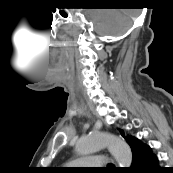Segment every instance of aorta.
Segmentation results:
<instances>
[{"label": "aorta", "instance_id": "762f6f07", "mask_svg": "<svg viewBox=\"0 0 173 173\" xmlns=\"http://www.w3.org/2000/svg\"><path fill=\"white\" fill-rule=\"evenodd\" d=\"M103 148H108L119 167H130L132 164V152L129 145L121 138L105 132L91 134L80 139L76 145V151L80 155H87Z\"/></svg>", "mask_w": 173, "mask_h": 173}]
</instances>
